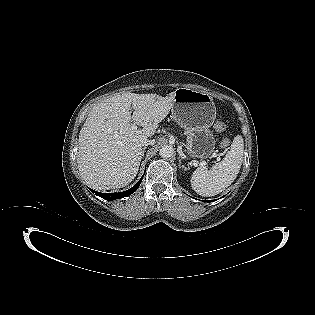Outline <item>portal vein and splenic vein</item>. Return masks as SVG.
I'll return each mask as SVG.
<instances>
[{
  "mask_svg": "<svg viewBox=\"0 0 315 315\" xmlns=\"http://www.w3.org/2000/svg\"><path fill=\"white\" fill-rule=\"evenodd\" d=\"M132 128H133L134 130H136V129H137V126H136L135 124H133V125H132Z\"/></svg>",
  "mask_w": 315,
  "mask_h": 315,
  "instance_id": "obj_1",
  "label": "portal vein and splenic vein"
}]
</instances>
